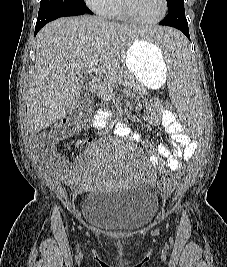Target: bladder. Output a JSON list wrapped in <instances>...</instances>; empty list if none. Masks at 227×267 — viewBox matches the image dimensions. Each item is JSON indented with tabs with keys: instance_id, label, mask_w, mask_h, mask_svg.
Masks as SVG:
<instances>
[{
	"instance_id": "bladder-1",
	"label": "bladder",
	"mask_w": 227,
	"mask_h": 267,
	"mask_svg": "<svg viewBox=\"0 0 227 267\" xmlns=\"http://www.w3.org/2000/svg\"><path fill=\"white\" fill-rule=\"evenodd\" d=\"M157 211V197L147 187L93 190L82 204V215L89 225L110 231L140 228L150 222Z\"/></svg>"
}]
</instances>
